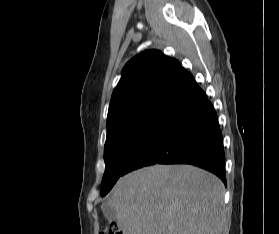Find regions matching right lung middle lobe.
Returning a JSON list of instances; mask_svg holds the SVG:
<instances>
[{"label":"right lung middle lobe","mask_w":279,"mask_h":234,"mask_svg":"<svg viewBox=\"0 0 279 234\" xmlns=\"http://www.w3.org/2000/svg\"><path fill=\"white\" fill-rule=\"evenodd\" d=\"M170 107L152 105L122 113L107 121L104 149L105 173L101 196H105L123 175L134 151L162 119Z\"/></svg>","instance_id":"right-lung-middle-lobe-1"}]
</instances>
